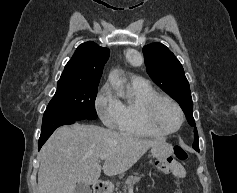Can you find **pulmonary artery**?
<instances>
[{"label": "pulmonary artery", "mask_w": 237, "mask_h": 193, "mask_svg": "<svg viewBox=\"0 0 237 193\" xmlns=\"http://www.w3.org/2000/svg\"><path fill=\"white\" fill-rule=\"evenodd\" d=\"M132 81L143 82L144 79L142 77H140V76L134 75V76H132Z\"/></svg>", "instance_id": "obj_1"}]
</instances>
